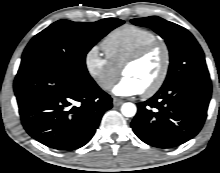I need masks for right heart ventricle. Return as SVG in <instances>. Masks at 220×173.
I'll list each match as a JSON object with an SVG mask.
<instances>
[{
    "label": "right heart ventricle",
    "instance_id": "obj_1",
    "mask_svg": "<svg viewBox=\"0 0 220 173\" xmlns=\"http://www.w3.org/2000/svg\"><path fill=\"white\" fill-rule=\"evenodd\" d=\"M157 39V35L151 30L125 25L112 31L101 45L107 58L120 69L134 52Z\"/></svg>",
    "mask_w": 220,
    "mask_h": 173
}]
</instances>
